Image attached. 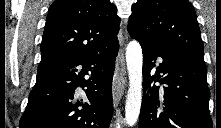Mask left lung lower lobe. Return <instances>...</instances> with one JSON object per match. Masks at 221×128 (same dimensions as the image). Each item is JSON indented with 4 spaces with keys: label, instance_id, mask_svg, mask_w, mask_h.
I'll use <instances>...</instances> for the list:
<instances>
[{
    "label": "left lung lower lobe",
    "instance_id": "left-lung-lower-lobe-1",
    "mask_svg": "<svg viewBox=\"0 0 221 128\" xmlns=\"http://www.w3.org/2000/svg\"><path fill=\"white\" fill-rule=\"evenodd\" d=\"M140 44L143 89L148 92L142 98L139 128H212L205 63L165 44ZM157 58L162 62L156 67ZM157 81L164 86H155Z\"/></svg>",
    "mask_w": 221,
    "mask_h": 128
}]
</instances>
